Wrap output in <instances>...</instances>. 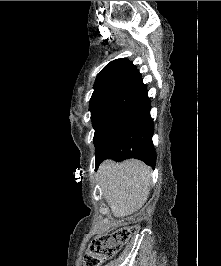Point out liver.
<instances>
[{
  "mask_svg": "<svg viewBox=\"0 0 221 266\" xmlns=\"http://www.w3.org/2000/svg\"><path fill=\"white\" fill-rule=\"evenodd\" d=\"M151 174L150 167L134 159L122 163L107 160L100 165L98 183L115 217L131 215L144 205L150 194Z\"/></svg>",
  "mask_w": 221,
  "mask_h": 266,
  "instance_id": "6515ba94",
  "label": "liver"
}]
</instances>
